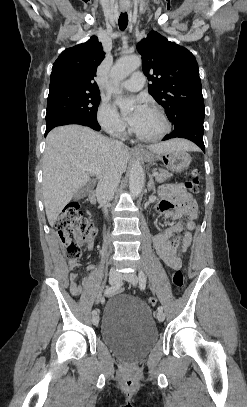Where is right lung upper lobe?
Returning <instances> with one entry per match:
<instances>
[{
    "mask_svg": "<svg viewBox=\"0 0 247 407\" xmlns=\"http://www.w3.org/2000/svg\"><path fill=\"white\" fill-rule=\"evenodd\" d=\"M103 58L102 44L96 36L65 49L53 64L49 93L59 90L99 91L94 78Z\"/></svg>",
    "mask_w": 247,
    "mask_h": 407,
    "instance_id": "right-lung-upper-lobe-1",
    "label": "right lung upper lobe"
}]
</instances>
